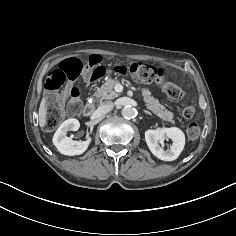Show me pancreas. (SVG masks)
Listing matches in <instances>:
<instances>
[{
  "instance_id": "1",
  "label": "pancreas",
  "mask_w": 236,
  "mask_h": 236,
  "mask_svg": "<svg viewBox=\"0 0 236 236\" xmlns=\"http://www.w3.org/2000/svg\"><path fill=\"white\" fill-rule=\"evenodd\" d=\"M118 83V80L108 79L101 87L97 88L94 96L96 97L98 102H102L103 100H111L118 97L119 94L114 91V86ZM141 93L143 101L146 103L145 105L149 110H151L162 120L170 122L172 124L175 123V121L173 120L174 114L168 110H165V107L151 95L149 89L141 88Z\"/></svg>"
}]
</instances>
